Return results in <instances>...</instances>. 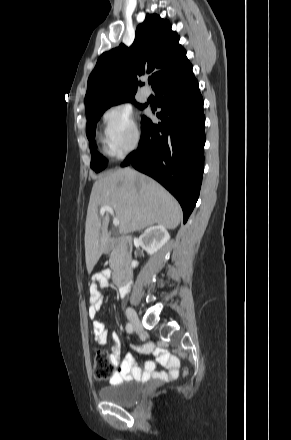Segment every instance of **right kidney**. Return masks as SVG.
<instances>
[{
	"label": "right kidney",
	"mask_w": 291,
	"mask_h": 440,
	"mask_svg": "<svg viewBox=\"0 0 291 440\" xmlns=\"http://www.w3.org/2000/svg\"><path fill=\"white\" fill-rule=\"evenodd\" d=\"M170 239V235L164 226L157 225L149 227L139 237V242L142 247L145 248L149 255L156 253L161 247H163ZM138 266V262L133 260L131 267Z\"/></svg>",
	"instance_id": "right-kidney-1"
}]
</instances>
